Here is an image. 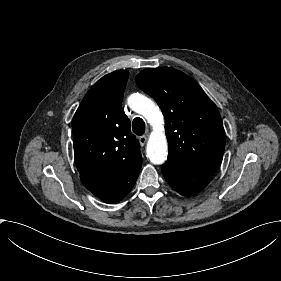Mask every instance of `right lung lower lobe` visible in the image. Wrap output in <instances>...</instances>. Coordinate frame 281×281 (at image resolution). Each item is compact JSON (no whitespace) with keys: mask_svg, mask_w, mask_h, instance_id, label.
<instances>
[{"mask_svg":"<svg viewBox=\"0 0 281 281\" xmlns=\"http://www.w3.org/2000/svg\"><path fill=\"white\" fill-rule=\"evenodd\" d=\"M142 165V160L139 161L128 174L110 191L99 196L103 202L114 204L121 201L133 188Z\"/></svg>","mask_w":281,"mask_h":281,"instance_id":"right-lung-lower-lobe-1","label":"right lung lower lobe"}]
</instances>
